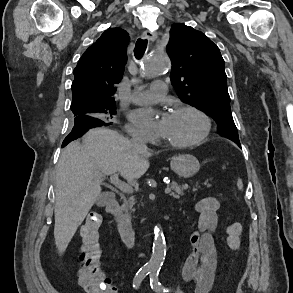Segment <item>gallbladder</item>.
Wrapping results in <instances>:
<instances>
[{
  "mask_svg": "<svg viewBox=\"0 0 293 293\" xmlns=\"http://www.w3.org/2000/svg\"><path fill=\"white\" fill-rule=\"evenodd\" d=\"M107 203V195L105 193L99 195V197L96 199L97 206H104Z\"/></svg>",
  "mask_w": 293,
  "mask_h": 293,
  "instance_id": "bac80fb5",
  "label": "gallbladder"
}]
</instances>
